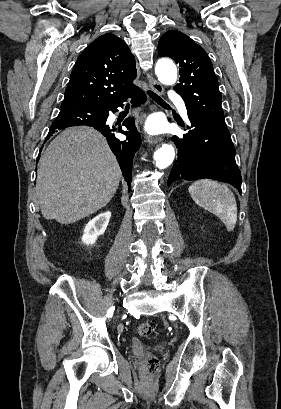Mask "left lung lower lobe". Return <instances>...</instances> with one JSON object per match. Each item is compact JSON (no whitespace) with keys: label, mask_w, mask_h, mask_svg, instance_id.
Instances as JSON below:
<instances>
[{"label":"left lung lower lobe","mask_w":281,"mask_h":409,"mask_svg":"<svg viewBox=\"0 0 281 409\" xmlns=\"http://www.w3.org/2000/svg\"><path fill=\"white\" fill-rule=\"evenodd\" d=\"M193 128L182 138L172 140L178 159L168 178V185L178 179L211 178L228 182L241 193V174L235 162V148L225 124L188 111Z\"/></svg>","instance_id":"obj_1"}]
</instances>
